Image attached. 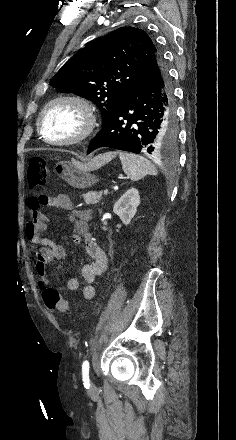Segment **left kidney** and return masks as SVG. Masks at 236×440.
Here are the masks:
<instances>
[{"label": "left kidney", "instance_id": "left-kidney-1", "mask_svg": "<svg viewBox=\"0 0 236 440\" xmlns=\"http://www.w3.org/2000/svg\"><path fill=\"white\" fill-rule=\"evenodd\" d=\"M139 204V192L136 188H131L115 202L113 212L125 225H128L135 216Z\"/></svg>", "mask_w": 236, "mask_h": 440}]
</instances>
